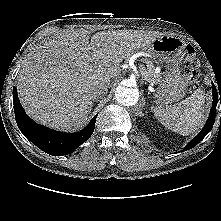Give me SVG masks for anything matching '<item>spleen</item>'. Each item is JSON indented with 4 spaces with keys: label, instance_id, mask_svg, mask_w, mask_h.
<instances>
[{
    "label": "spleen",
    "instance_id": "3e777b00",
    "mask_svg": "<svg viewBox=\"0 0 221 221\" xmlns=\"http://www.w3.org/2000/svg\"><path fill=\"white\" fill-rule=\"evenodd\" d=\"M204 103L205 94L199 88L180 103L166 107L159 105L153 110L156 118L168 129L181 135H189L204 123Z\"/></svg>",
    "mask_w": 221,
    "mask_h": 221
}]
</instances>
